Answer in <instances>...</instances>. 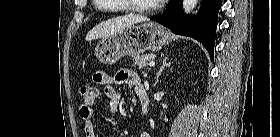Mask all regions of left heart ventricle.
Instances as JSON below:
<instances>
[{"label": "left heart ventricle", "mask_w": 280, "mask_h": 137, "mask_svg": "<svg viewBox=\"0 0 280 137\" xmlns=\"http://www.w3.org/2000/svg\"><path fill=\"white\" fill-rule=\"evenodd\" d=\"M138 6L147 7L154 3V0H133Z\"/></svg>", "instance_id": "1"}]
</instances>
